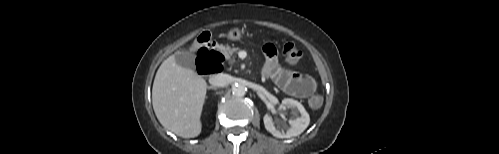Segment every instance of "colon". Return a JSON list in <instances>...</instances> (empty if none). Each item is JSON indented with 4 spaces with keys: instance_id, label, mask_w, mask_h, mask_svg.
<instances>
[{
    "instance_id": "1",
    "label": "colon",
    "mask_w": 499,
    "mask_h": 154,
    "mask_svg": "<svg viewBox=\"0 0 499 154\" xmlns=\"http://www.w3.org/2000/svg\"><path fill=\"white\" fill-rule=\"evenodd\" d=\"M210 39H211L210 34L205 31L200 33L196 37V42L198 44H206L210 41ZM282 55L288 62L296 63L302 57V51L296 44L292 42H285L282 47ZM211 56H212L214 71L215 72L220 71L222 69L224 62L223 56L215 51H211ZM308 102L311 107L319 108L322 105L323 99L319 94H313L310 96Z\"/></svg>"
}]
</instances>
